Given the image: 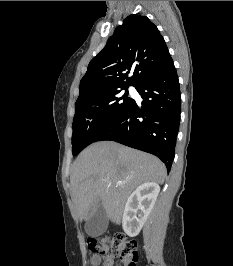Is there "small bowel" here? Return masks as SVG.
<instances>
[{"mask_svg":"<svg viewBox=\"0 0 233 266\" xmlns=\"http://www.w3.org/2000/svg\"><path fill=\"white\" fill-rule=\"evenodd\" d=\"M90 261L93 266H98L100 264V259L97 255H93Z\"/></svg>","mask_w":233,"mask_h":266,"instance_id":"obj_1","label":"small bowel"}]
</instances>
